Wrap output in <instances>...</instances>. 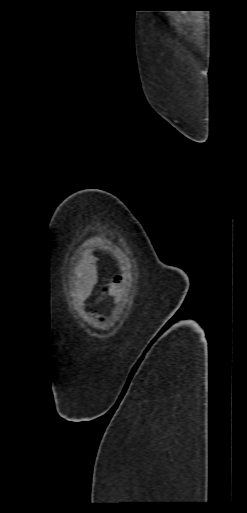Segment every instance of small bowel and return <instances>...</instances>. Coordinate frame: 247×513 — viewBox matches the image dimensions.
<instances>
[{
	"instance_id": "1",
	"label": "small bowel",
	"mask_w": 247,
	"mask_h": 513,
	"mask_svg": "<svg viewBox=\"0 0 247 513\" xmlns=\"http://www.w3.org/2000/svg\"><path fill=\"white\" fill-rule=\"evenodd\" d=\"M73 294L78 301H85L92 294L96 282L94 265L84 259L73 263Z\"/></svg>"
}]
</instances>
